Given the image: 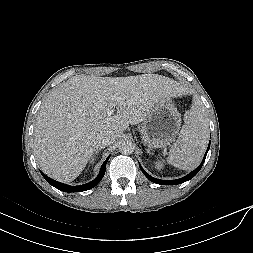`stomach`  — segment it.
<instances>
[{
  "mask_svg": "<svg viewBox=\"0 0 253 253\" xmlns=\"http://www.w3.org/2000/svg\"><path fill=\"white\" fill-rule=\"evenodd\" d=\"M180 126L181 115L168 97L143 120L141 139L149 148H165L175 141Z\"/></svg>",
  "mask_w": 253,
  "mask_h": 253,
  "instance_id": "stomach-1",
  "label": "stomach"
}]
</instances>
